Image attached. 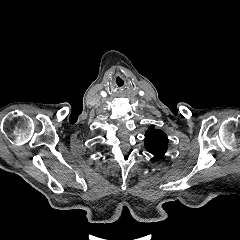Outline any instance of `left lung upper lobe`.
Masks as SVG:
<instances>
[{
    "mask_svg": "<svg viewBox=\"0 0 240 240\" xmlns=\"http://www.w3.org/2000/svg\"><path fill=\"white\" fill-rule=\"evenodd\" d=\"M168 138L167 135L154 126H150L145 133V147L154 158H162L167 151Z\"/></svg>",
    "mask_w": 240,
    "mask_h": 240,
    "instance_id": "left-lung-upper-lobe-1",
    "label": "left lung upper lobe"
}]
</instances>
